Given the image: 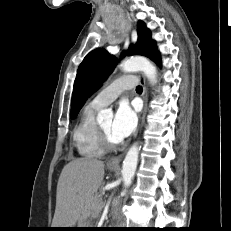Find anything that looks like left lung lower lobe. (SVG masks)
I'll list each match as a JSON object with an SVG mask.
<instances>
[{
  "label": "left lung lower lobe",
  "mask_w": 231,
  "mask_h": 231,
  "mask_svg": "<svg viewBox=\"0 0 231 231\" xmlns=\"http://www.w3.org/2000/svg\"><path fill=\"white\" fill-rule=\"evenodd\" d=\"M150 59L160 66V56L158 53H155Z\"/></svg>",
  "instance_id": "left-lung-lower-lobe-1"
}]
</instances>
